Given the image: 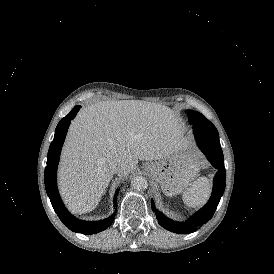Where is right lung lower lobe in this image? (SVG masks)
Here are the masks:
<instances>
[{
  "mask_svg": "<svg viewBox=\"0 0 274 274\" xmlns=\"http://www.w3.org/2000/svg\"><path fill=\"white\" fill-rule=\"evenodd\" d=\"M81 106H75L71 112L60 120L58 123L55 135L52 143L50 144V148L47 156V166L45 168L44 178H45V187L47 194L50 198L51 204L59 216L62 223L67 226L70 230L77 233L84 234H94L101 232L108 228L112 222L114 221L115 215L111 217L101 220V221H82L75 218L71 215L65 208L64 204L61 201L59 196L57 185H56V172L57 165L59 162L61 148L70 124V121L76 116L77 112ZM117 194L114 197V205L117 202Z\"/></svg>",
  "mask_w": 274,
  "mask_h": 274,
  "instance_id": "1",
  "label": "right lung lower lobe"
}]
</instances>
